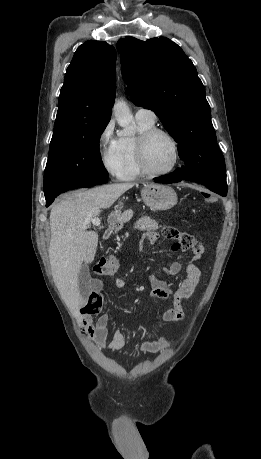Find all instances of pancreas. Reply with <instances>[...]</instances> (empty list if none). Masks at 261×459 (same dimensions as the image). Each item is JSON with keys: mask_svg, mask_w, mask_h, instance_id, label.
I'll return each instance as SVG.
<instances>
[{"mask_svg": "<svg viewBox=\"0 0 261 459\" xmlns=\"http://www.w3.org/2000/svg\"><path fill=\"white\" fill-rule=\"evenodd\" d=\"M134 228L141 231H155L158 230L159 225L155 220L148 216H144L134 224Z\"/></svg>", "mask_w": 261, "mask_h": 459, "instance_id": "1", "label": "pancreas"}]
</instances>
